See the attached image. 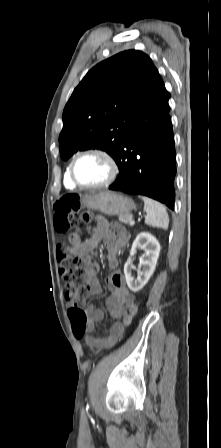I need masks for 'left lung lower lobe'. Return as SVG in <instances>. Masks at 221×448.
I'll list each match as a JSON object with an SVG mask.
<instances>
[{
    "label": "left lung lower lobe",
    "instance_id": "0a47b994",
    "mask_svg": "<svg viewBox=\"0 0 221 448\" xmlns=\"http://www.w3.org/2000/svg\"><path fill=\"white\" fill-rule=\"evenodd\" d=\"M169 98L165 90L153 99L125 134L114 159L119 175L109 189L145 195L173 209L176 153Z\"/></svg>",
    "mask_w": 221,
    "mask_h": 448
}]
</instances>
